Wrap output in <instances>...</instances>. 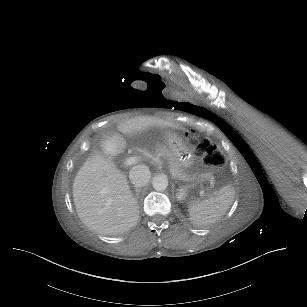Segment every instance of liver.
<instances>
[{
    "instance_id": "obj_1",
    "label": "liver",
    "mask_w": 307,
    "mask_h": 307,
    "mask_svg": "<svg viewBox=\"0 0 307 307\" xmlns=\"http://www.w3.org/2000/svg\"><path fill=\"white\" fill-rule=\"evenodd\" d=\"M151 127L181 129L173 121L152 116L131 118L117 125L119 132L129 136ZM117 134L123 145L112 155L123 153L127 145ZM73 198L83 224L100 235L122 234L137 225L139 209L126 175L100 155L87 158L81 166L73 182Z\"/></svg>"
}]
</instances>
